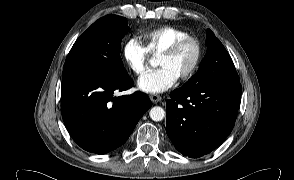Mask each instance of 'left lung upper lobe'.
Masks as SVG:
<instances>
[{
    "label": "left lung upper lobe",
    "mask_w": 294,
    "mask_h": 180,
    "mask_svg": "<svg viewBox=\"0 0 294 180\" xmlns=\"http://www.w3.org/2000/svg\"><path fill=\"white\" fill-rule=\"evenodd\" d=\"M207 52L198 72L182 87L198 88L213 83H240L230 55L214 33L207 31Z\"/></svg>",
    "instance_id": "left-lung-upper-lobe-1"
}]
</instances>
